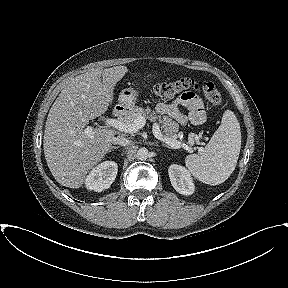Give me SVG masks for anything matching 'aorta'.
I'll list each match as a JSON object with an SVG mask.
<instances>
[{
  "label": "aorta",
  "instance_id": "aorta-1",
  "mask_svg": "<svg viewBox=\"0 0 288 288\" xmlns=\"http://www.w3.org/2000/svg\"><path fill=\"white\" fill-rule=\"evenodd\" d=\"M149 157V151L147 148L142 147L137 151V158L139 160H146Z\"/></svg>",
  "mask_w": 288,
  "mask_h": 288
}]
</instances>
